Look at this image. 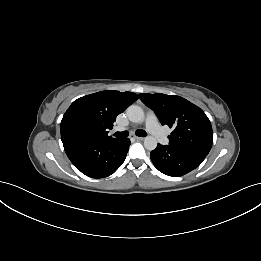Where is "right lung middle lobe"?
<instances>
[{"instance_id":"right-lung-middle-lobe-1","label":"right lung middle lobe","mask_w":261,"mask_h":261,"mask_svg":"<svg viewBox=\"0 0 261 261\" xmlns=\"http://www.w3.org/2000/svg\"><path fill=\"white\" fill-rule=\"evenodd\" d=\"M67 135L72 140H84L87 136V133L83 127L74 126L68 131Z\"/></svg>"}]
</instances>
